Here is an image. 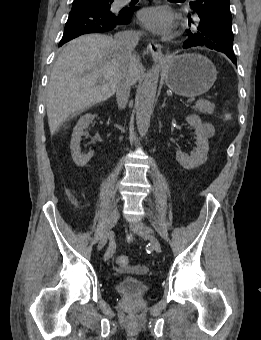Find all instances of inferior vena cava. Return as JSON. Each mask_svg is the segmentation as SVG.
I'll use <instances>...</instances> for the list:
<instances>
[{
	"instance_id": "602c4592",
	"label": "inferior vena cava",
	"mask_w": 261,
	"mask_h": 340,
	"mask_svg": "<svg viewBox=\"0 0 261 340\" xmlns=\"http://www.w3.org/2000/svg\"><path fill=\"white\" fill-rule=\"evenodd\" d=\"M140 35L139 32L135 31H123L114 36L113 46L122 58L127 59L132 56V52L139 42ZM131 86L132 80L130 75L128 73L121 74L115 90L117 104L120 109L125 108L128 103Z\"/></svg>"
}]
</instances>
